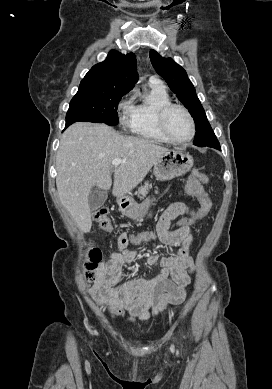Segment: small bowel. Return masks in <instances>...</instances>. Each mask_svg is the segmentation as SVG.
Instances as JSON below:
<instances>
[{
  "mask_svg": "<svg viewBox=\"0 0 272 389\" xmlns=\"http://www.w3.org/2000/svg\"><path fill=\"white\" fill-rule=\"evenodd\" d=\"M194 215L195 210L182 202L171 204L161 215L156 227L158 239L167 245L180 246L178 253L172 257L159 258L155 254L143 256L128 249L126 234L118 237V250L112 252L107 261L99 264L97 279L90 290L95 300L111 316L127 314L130 322L137 319L146 322L152 315H158L185 299L193 272V260L189 255L193 242L191 226L173 231L169 228L177 217ZM142 257L148 265L158 267L159 273L150 280L123 281V266Z\"/></svg>",
  "mask_w": 272,
  "mask_h": 389,
  "instance_id": "1",
  "label": "small bowel"
}]
</instances>
